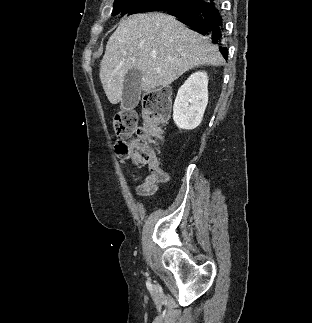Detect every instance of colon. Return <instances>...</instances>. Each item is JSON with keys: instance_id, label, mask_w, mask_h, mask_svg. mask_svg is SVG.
I'll return each instance as SVG.
<instances>
[{"instance_id": "colon-1", "label": "colon", "mask_w": 312, "mask_h": 323, "mask_svg": "<svg viewBox=\"0 0 312 323\" xmlns=\"http://www.w3.org/2000/svg\"><path fill=\"white\" fill-rule=\"evenodd\" d=\"M167 91L158 89L150 95V108L143 125L137 124V113L124 108L113 116V135L119 140L118 158H131L139 165L157 168L153 147L161 142V125L166 121L163 110Z\"/></svg>"}]
</instances>
